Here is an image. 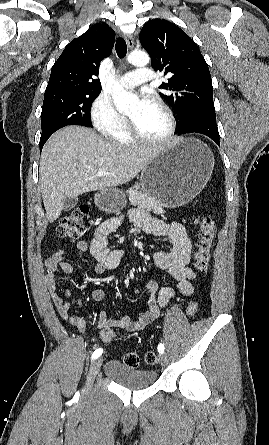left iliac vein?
<instances>
[{
	"instance_id": "1",
	"label": "left iliac vein",
	"mask_w": 269,
	"mask_h": 445,
	"mask_svg": "<svg viewBox=\"0 0 269 445\" xmlns=\"http://www.w3.org/2000/svg\"><path fill=\"white\" fill-rule=\"evenodd\" d=\"M159 360L162 366H166L168 364V358L165 354H160Z\"/></svg>"
}]
</instances>
